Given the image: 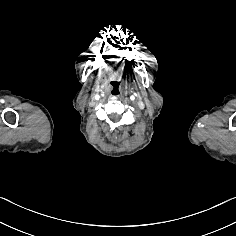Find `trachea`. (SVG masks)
I'll list each match as a JSON object with an SVG mask.
<instances>
[{"label":"trachea","mask_w":236,"mask_h":236,"mask_svg":"<svg viewBox=\"0 0 236 236\" xmlns=\"http://www.w3.org/2000/svg\"><path fill=\"white\" fill-rule=\"evenodd\" d=\"M110 93L113 96H118L121 93L120 84L117 81H112L109 84Z\"/></svg>","instance_id":"trachea-1"}]
</instances>
